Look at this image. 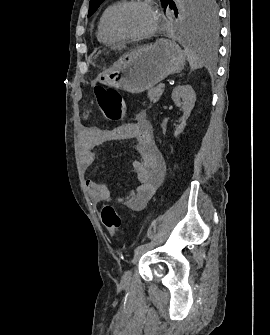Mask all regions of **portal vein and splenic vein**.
I'll use <instances>...</instances> for the list:
<instances>
[{
  "label": "portal vein and splenic vein",
  "mask_w": 270,
  "mask_h": 335,
  "mask_svg": "<svg viewBox=\"0 0 270 335\" xmlns=\"http://www.w3.org/2000/svg\"><path fill=\"white\" fill-rule=\"evenodd\" d=\"M165 85H166V84H165V81H162L161 89L164 88Z\"/></svg>",
  "instance_id": "1"
}]
</instances>
